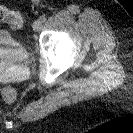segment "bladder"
I'll list each match as a JSON object with an SVG mask.
<instances>
[{
  "label": "bladder",
  "instance_id": "bladder-1",
  "mask_svg": "<svg viewBox=\"0 0 133 133\" xmlns=\"http://www.w3.org/2000/svg\"><path fill=\"white\" fill-rule=\"evenodd\" d=\"M29 49L7 29H0V63H23L29 58Z\"/></svg>",
  "mask_w": 133,
  "mask_h": 133
}]
</instances>
